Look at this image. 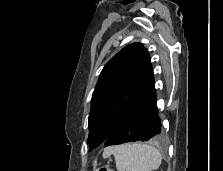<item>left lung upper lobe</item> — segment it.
Here are the masks:
<instances>
[{"mask_svg": "<svg viewBox=\"0 0 223 171\" xmlns=\"http://www.w3.org/2000/svg\"><path fill=\"white\" fill-rule=\"evenodd\" d=\"M152 75L149 53L141 43L127 45L108 61L91 99L90 150L106 141Z\"/></svg>", "mask_w": 223, "mask_h": 171, "instance_id": "5c2ea615", "label": "left lung upper lobe"}]
</instances>
